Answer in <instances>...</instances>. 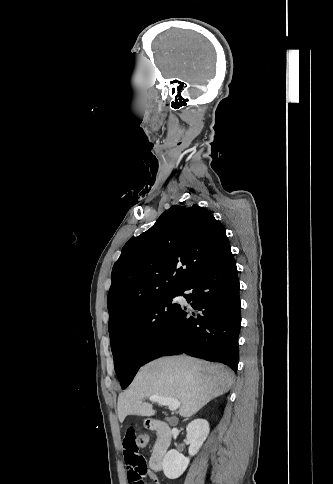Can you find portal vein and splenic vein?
Wrapping results in <instances>:
<instances>
[{
  "mask_svg": "<svg viewBox=\"0 0 333 484\" xmlns=\"http://www.w3.org/2000/svg\"><path fill=\"white\" fill-rule=\"evenodd\" d=\"M152 402H157L161 405L167 406L170 411H175L180 407V402L178 399L171 397H164L161 395H153L149 397Z\"/></svg>",
  "mask_w": 333,
  "mask_h": 484,
  "instance_id": "portal-vein-and-splenic-vein-1",
  "label": "portal vein and splenic vein"
}]
</instances>
